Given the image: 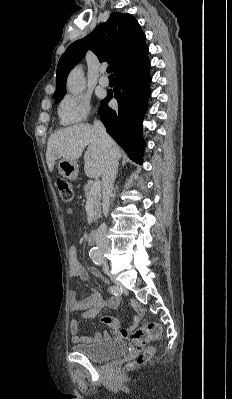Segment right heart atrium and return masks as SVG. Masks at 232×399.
I'll return each instance as SVG.
<instances>
[{
  "mask_svg": "<svg viewBox=\"0 0 232 399\" xmlns=\"http://www.w3.org/2000/svg\"><path fill=\"white\" fill-rule=\"evenodd\" d=\"M74 70V69H73ZM91 113L89 105H83L78 96H69L57 109L61 125H83Z\"/></svg>",
  "mask_w": 232,
  "mask_h": 399,
  "instance_id": "right-heart-atrium-1",
  "label": "right heart atrium"
}]
</instances>
